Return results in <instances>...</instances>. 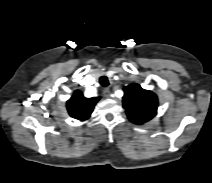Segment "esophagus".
Here are the masks:
<instances>
[{"mask_svg":"<svg viewBox=\"0 0 212 183\" xmlns=\"http://www.w3.org/2000/svg\"><path fill=\"white\" fill-rule=\"evenodd\" d=\"M103 95H104L105 98H110V97H111V92H110V90H109L108 88H105V89L103 90Z\"/></svg>","mask_w":212,"mask_h":183,"instance_id":"esophagus-1","label":"esophagus"}]
</instances>
